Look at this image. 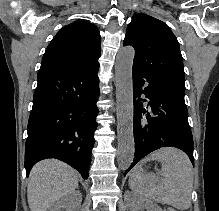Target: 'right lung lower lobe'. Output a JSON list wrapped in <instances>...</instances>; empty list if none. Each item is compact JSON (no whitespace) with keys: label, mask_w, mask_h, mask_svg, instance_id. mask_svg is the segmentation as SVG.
<instances>
[{"label":"right lung lower lobe","mask_w":219,"mask_h":211,"mask_svg":"<svg viewBox=\"0 0 219 211\" xmlns=\"http://www.w3.org/2000/svg\"><path fill=\"white\" fill-rule=\"evenodd\" d=\"M98 68L99 64L38 72L27 128V176L36 162L57 158L88 178L97 128Z\"/></svg>","instance_id":"obj_1"}]
</instances>
